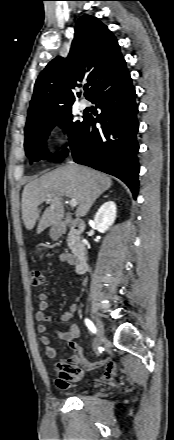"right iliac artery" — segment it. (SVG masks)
<instances>
[{
  "mask_svg": "<svg viewBox=\"0 0 174 440\" xmlns=\"http://www.w3.org/2000/svg\"><path fill=\"white\" fill-rule=\"evenodd\" d=\"M85 323L90 331H92L93 333H96V328H95L94 324L89 319H85Z\"/></svg>",
  "mask_w": 174,
  "mask_h": 440,
  "instance_id": "1",
  "label": "right iliac artery"
}]
</instances>
